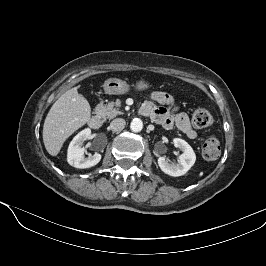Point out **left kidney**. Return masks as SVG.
<instances>
[{
    "instance_id": "obj_1",
    "label": "left kidney",
    "mask_w": 266,
    "mask_h": 266,
    "mask_svg": "<svg viewBox=\"0 0 266 266\" xmlns=\"http://www.w3.org/2000/svg\"><path fill=\"white\" fill-rule=\"evenodd\" d=\"M174 146L182 151L178 163L170 164L164 156L158 158V165L165 173L173 177L184 175L195 163L196 155L192 147L183 139L174 138Z\"/></svg>"
}]
</instances>
